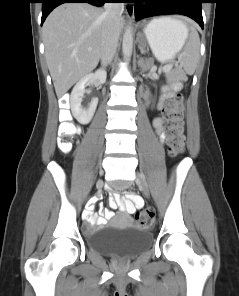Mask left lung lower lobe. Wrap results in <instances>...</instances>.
I'll list each match as a JSON object with an SVG mask.
<instances>
[{"instance_id":"obj_1","label":"left lung lower lobe","mask_w":239,"mask_h":296,"mask_svg":"<svg viewBox=\"0 0 239 296\" xmlns=\"http://www.w3.org/2000/svg\"><path fill=\"white\" fill-rule=\"evenodd\" d=\"M150 3L151 5H141ZM204 0H147L135 2V18L140 20L146 17L168 14H181L195 20L203 29L201 4Z\"/></svg>"}]
</instances>
